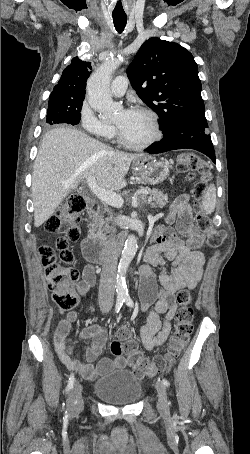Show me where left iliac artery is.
<instances>
[{
  "label": "left iliac artery",
  "instance_id": "obj_1",
  "mask_svg": "<svg viewBox=\"0 0 250 454\" xmlns=\"http://www.w3.org/2000/svg\"><path fill=\"white\" fill-rule=\"evenodd\" d=\"M124 301L129 307H134V303H133L132 299L129 296L125 297ZM162 383L166 387H168L170 385L169 381L167 379H165V378L162 379Z\"/></svg>",
  "mask_w": 250,
  "mask_h": 454
}]
</instances>
